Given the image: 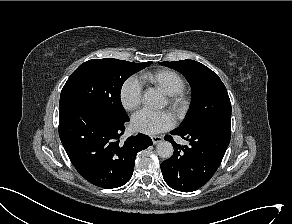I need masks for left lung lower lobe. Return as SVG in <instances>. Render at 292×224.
I'll return each instance as SVG.
<instances>
[{"label":"left lung lower lobe","mask_w":292,"mask_h":224,"mask_svg":"<svg viewBox=\"0 0 292 224\" xmlns=\"http://www.w3.org/2000/svg\"><path fill=\"white\" fill-rule=\"evenodd\" d=\"M189 141V146L175 143L171 136H165L174 146V154L161 163L165 182L172 189L181 192L197 190L210 180L221 164L229 145L231 131L185 133L178 129L171 131Z\"/></svg>","instance_id":"obj_1"}]
</instances>
